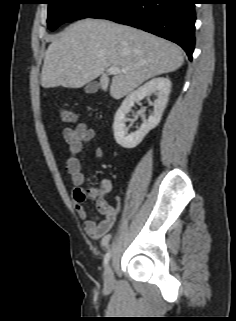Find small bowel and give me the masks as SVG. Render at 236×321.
Masks as SVG:
<instances>
[{"label":"small bowel","mask_w":236,"mask_h":321,"mask_svg":"<svg viewBox=\"0 0 236 321\" xmlns=\"http://www.w3.org/2000/svg\"><path fill=\"white\" fill-rule=\"evenodd\" d=\"M97 136L93 128L85 123H79L74 128L67 127L63 130V137L68 144L69 156L65 160V169L73 186L71 191L72 203L80 218L84 221L83 228L87 235L92 239H103V244H107L106 234L110 231L116 222L118 210L110 205L106 196L112 190V183L109 179H102L98 189H95V206L98 213L103 216H94L87 219L88 208L85 206V198H81L79 191L83 190L81 186L85 182V175L81 169V163L78 155L83 151L84 145L93 141ZM104 151L98 146L95 152L97 160L103 157Z\"/></svg>","instance_id":"obj_1"}]
</instances>
